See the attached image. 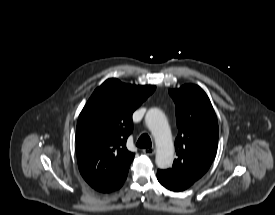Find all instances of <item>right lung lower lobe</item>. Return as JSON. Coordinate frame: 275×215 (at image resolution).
I'll use <instances>...</instances> for the list:
<instances>
[{
	"label": "right lung lower lobe",
	"instance_id": "right-lung-lower-lobe-1",
	"mask_svg": "<svg viewBox=\"0 0 275 215\" xmlns=\"http://www.w3.org/2000/svg\"><path fill=\"white\" fill-rule=\"evenodd\" d=\"M126 177L120 179L116 183H113V184H110V185L101 186V187H97V188H94V189H96V190H98L100 192H111V191L117 190V189H119L123 185Z\"/></svg>",
	"mask_w": 275,
	"mask_h": 215
}]
</instances>
